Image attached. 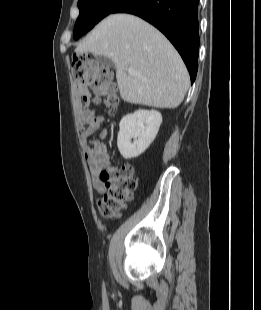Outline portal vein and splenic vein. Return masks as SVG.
<instances>
[{
  "instance_id": "obj_1",
  "label": "portal vein and splenic vein",
  "mask_w": 261,
  "mask_h": 310,
  "mask_svg": "<svg viewBox=\"0 0 261 310\" xmlns=\"http://www.w3.org/2000/svg\"><path fill=\"white\" fill-rule=\"evenodd\" d=\"M128 73H130V74H132V73H135V70H134V68H132V67H129V68H128Z\"/></svg>"
}]
</instances>
